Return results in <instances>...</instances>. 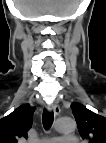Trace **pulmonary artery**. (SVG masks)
<instances>
[{"label": "pulmonary artery", "instance_id": "pulmonary-artery-1", "mask_svg": "<svg viewBox=\"0 0 106 143\" xmlns=\"http://www.w3.org/2000/svg\"><path fill=\"white\" fill-rule=\"evenodd\" d=\"M62 140L74 142L77 139H76L75 136H66V137H61V138H54V139L51 140V142L56 143V142H60Z\"/></svg>", "mask_w": 106, "mask_h": 143}]
</instances>
